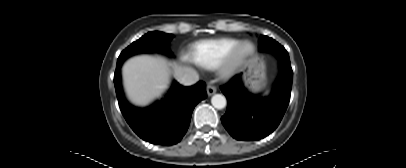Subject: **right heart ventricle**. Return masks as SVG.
Instances as JSON below:
<instances>
[{"label": "right heart ventricle", "instance_id": "right-heart-ventricle-1", "mask_svg": "<svg viewBox=\"0 0 406 168\" xmlns=\"http://www.w3.org/2000/svg\"><path fill=\"white\" fill-rule=\"evenodd\" d=\"M239 43V40L233 38L201 40L191 45L188 58L202 68L215 69Z\"/></svg>", "mask_w": 406, "mask_h": 168}]
</instances>
